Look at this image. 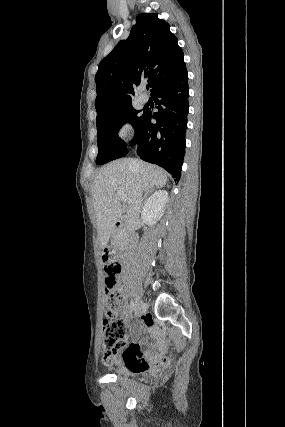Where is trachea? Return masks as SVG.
<instances>
[{"label":"trachea","mask_w":285,"mask_h":427,"mask_svg":"<svg viewBox=\"0 0 285 427\" xmlns=\"http://www.w3.org/2000/svg\"><path fill=\"white\" fill-rule=\"evenodd\" d=\"M146 89H149V86H148V85L146 86Z\"/></svg>","instance_id":"obj_1"}]
</instances>
